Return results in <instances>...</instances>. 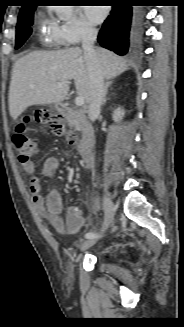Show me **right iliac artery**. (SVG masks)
<instances>
[{"instance_id": "obj_1", "label": "right iliac artery", "mask_w": 184, "mask_h": 327, "mask_svg": "<svg viewBox=\"0 0 184 327\" xmlns=\"http://www.w3.org/2000/svg\"><path fill=\"white\" fill-rule=\"evenodd\" d=\"M85 237L87 238V239H90V238H96V237H98L95 233H93V232H89V233H87L86 235H85Z\"/></svg>"}]
</instances>
